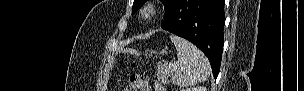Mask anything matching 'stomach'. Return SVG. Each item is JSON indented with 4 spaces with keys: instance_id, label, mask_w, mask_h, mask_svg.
I'll use <instances>...</instances> for the list:
<instances>
[{
    "instance_id": "stomach-1",
    "label": "stomach",
    "mask_w": 304,
    "mask_h": 91,
    "mask_svg": "<svg viewBox=\"0 0 304 91\" xmlns=\"http://www.w3.org/2000/svg\"><path fill=\"white\" fill-rule=\"evenodd\" d=\"M167 52L165 51V50H162L161 52H160V54H162V55H164V54H166Z\"/></svg>"
}]
</instances>
